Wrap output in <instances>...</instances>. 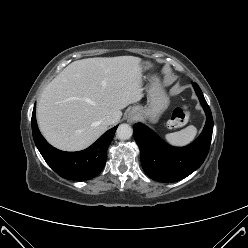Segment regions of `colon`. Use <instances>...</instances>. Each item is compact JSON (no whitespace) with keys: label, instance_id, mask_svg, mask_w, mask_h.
I'll return each instance as SVG.
<instances>
[{"label":"colon","instance_id":"1","mask_svg":"<svg viewBox=\"0 0 248 248\" xmlns=\"http://www.w3.org/2000/svg\"><path fill=\"white\" fill-rule=\"evenodd\" d=\"M190 118L189 109L184 106L182 108H177L173 111L171 118L168 122L170 127H179L188 122Z\"/></svg>","mask_w":248,"mask_h":248}]
</instances>
